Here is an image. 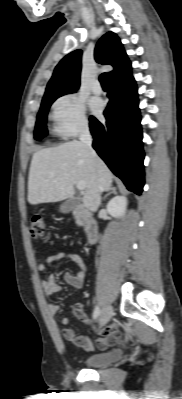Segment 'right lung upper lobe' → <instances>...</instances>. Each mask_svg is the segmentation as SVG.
Wrapping results in <instances>:
<instances>
[{"instance_id": "obj_1", "label": "right lung upper lobe", "mask_w": 182, "mask_h": 399, "mask_svg": "<svg viewBox=\"0 0 182 399\" xmlns=\"http://www.w3.org/2000/svg\"><path fill=\"white\" fill-rule=\"evenodd\" d=\"M81 50L66 55L55 67L53 76L47 84L43 99L60 97L73 93L80 86ZM95 59L98 63L112 65L110 81L123 78L131 73V63L122 44L113 32L106 33L97 43Z\"/></svg>"}]
</instances>
